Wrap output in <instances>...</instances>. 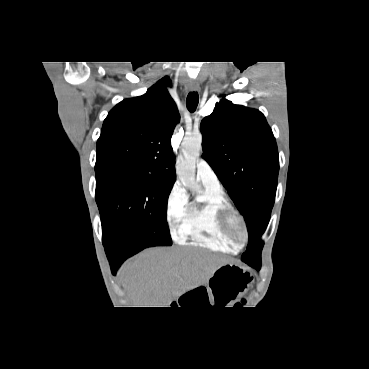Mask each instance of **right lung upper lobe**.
Returning <instances> with one entry per match:
<instances>
[{"instance_id": "cb5924a9", "label": "right lung upper lobe", "mask_w": 369, "mask_h": 369, "mask_svg": "<svg viewBox=\"0 0 369 369\" xmlns=\"http://www.w3.org/2000/svg\"><path fill=\"white\" fill-rule=\"evenodd\" d=\"M165 77L139 97L118 103L103 122L95 168L134 170L167 183L176 180L171 137L179 113Z\"/></svg>"}]
</instances>
